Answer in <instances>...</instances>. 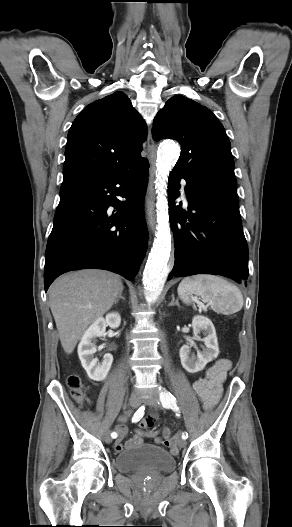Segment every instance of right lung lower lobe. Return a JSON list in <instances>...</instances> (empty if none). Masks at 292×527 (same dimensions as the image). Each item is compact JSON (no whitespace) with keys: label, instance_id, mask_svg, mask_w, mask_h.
<instances>
[{"label":"right lung lower lobe","instance_id":"right-lung-lower-lobe-1","mask_svg":"<svg viewBox=\"0 0 292 527\" xmlns=\"http://www.w3.org/2000/svg\"><path fill=\"white\" fill-rule=\"evenodd\" d=\"M148 167L145 161L107 179L63 181L45 254V291L59 275L86 268L134 279L147 247L143 202ZM109 206L118 212L110 215Z\"/></svg>","mask_w":292,"mask_h":527}]
</instances>
